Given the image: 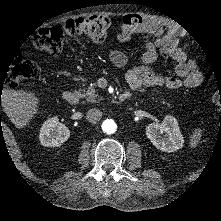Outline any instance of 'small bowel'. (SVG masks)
<instances>
[{"label": "small bowel", "mask_w": 221, "mask_h": 221, "mask_svg": "<svg viewBox=\"0 0 221 221\" xmlns=\"http://www.w3.org/2000/svg\"><path fill=\"white\" fill-rule=\"evenodd\" d=\"M142 23L136 27L122 26L117 34V40L126 42L133 33H142L144 52L139 56L138 63L131 67L126 75V81L133 90L143 87H165L170 90L181 87H197L203 80V75L196 62L189 58L184 49L179 47V40L167 23L150 15L141 16ZM169 56L175 67L176 76H162L153 71L152 64L158 54ZM110 61L117 67H124L128 57L123 52L112 49L108 52Z\"/></svg>", "instance_id": "obj_1"}]
</instances>
